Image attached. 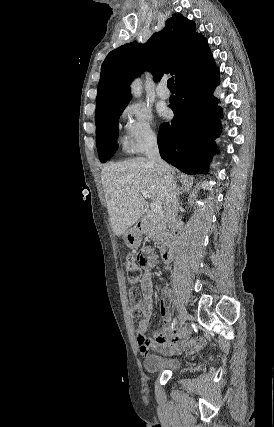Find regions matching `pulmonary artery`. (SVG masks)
Listing matches in <instances>:
<instances>
[{
	"label": "pulmonary artery",
	"instance_id": "obj_1",
	"mask_svg": "<svg viewBox=\"0 0 274 427\" xmlns=\"http://www.w3.org/2000/svg\"><path fill=\"white\" fill-rule=\"evenodd\" d=\"M157 95L163 100L170 97V90L165 82H162L157 86Z\"/></svg>",
	"mask_w": 274,
	"mask_h": 427
}]
</instances>
